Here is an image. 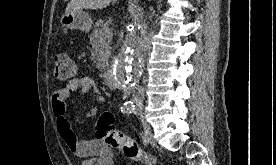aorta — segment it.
<instances>
[{
	"mask_svg": "<svg viewBox=\"0 0 276 165\" xmlns=\"http://www.w3.org/2000/svg\"><path fill=\"white\" fill-rule=\"evenodd\" d=\"M144 49L138 32L135 29L131 30L112 69V77L118 86L129 88L139 77L144 65Z\"/></svg>",
	"mask_w": 276,
	"mask_h": 165,
	"instance_id": "1",
	"label": "aorta"
}]
</instances>
